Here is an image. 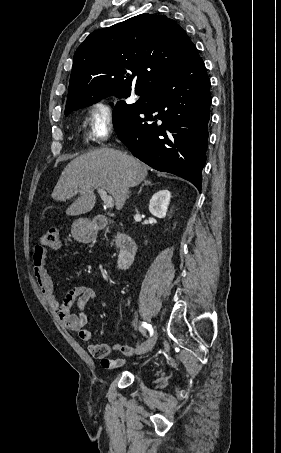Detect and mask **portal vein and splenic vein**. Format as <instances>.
Wrapping results in <instances>:
<instances>
[{
  "label": "portal vein and splenic vein",
  "instance_id": "portal-vein-and-splenic-vein-1",
  "mask_svg": "<svg viewBox=\"0 0 281 453\" xmlns=\"http://www.w3.org/2000/svg\"><path fill=\"white\" fill-rule=\"evenodd\" d=\"M97 192H98V194H100V196L104 202V206H107V208H112V206H114L113 196H110V194H107V192H106V190H104V188H98Z\"/></svg>",
  "mask_w": 281,
  "mask_h": 453
}]
</instances>
